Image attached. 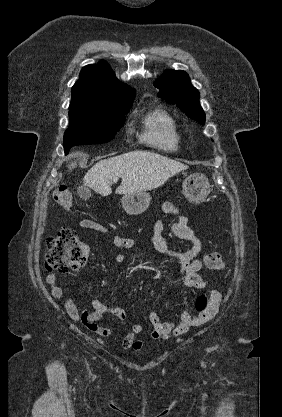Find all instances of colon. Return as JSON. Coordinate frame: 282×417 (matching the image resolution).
I'll return each instance as SVG.
<instances>
[{
  "instance_id": "obj_1",
  "label": "colon",
  "mask_w": 282,
  "mask_h": 417,
  "mask_svg": "<svg viewBox=\"0 0 282 417\" xmlns=\"http://www.w3.org/2000/svg\"><path fill=\"white\" fill-rule=\"evenodd\" d=\"M55 204L63 209H70L73 204L71 192L63 185L54 189ZM48 251L44 257V267L47 271L64 272L74 270L85 265L89 257L88 246L77 238L70 229H63L57 235L47 238ZM210 270L221 271L224 259L219 253H212L207 257ZM209 301L206 295H200L195 302V308L202 312Z\"/></svg>"
}]
</instances>
